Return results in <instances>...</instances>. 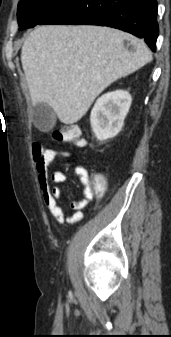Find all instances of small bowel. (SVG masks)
Instances as JSON below:
<instances>
[{"label":"small bowel","instance_id":"small-bowel-1","mask_svg":"<svg viewBox=\"0 0 171 337\" xmlns=\"http://www.w3.org/2000/svg\"><path fill=\"white\" fill-rule=\"evenodd\" d=\"M63 160H71L72 154L66 151L58 152L53 148L43 149L39 144H35L33 148V162L37 173L38 184L42 191L43 201L49 213L54 218L56 223L63 224L65 222H76L83 218L82 210L94 198V193L90 184L89 175L87 170L82 166L75 168V173L79 177L81 184L84 187V198L82 200L72 201L70 204L71 209L74 211L72 214L60 206L59 200L62 196V191L54 184H62L68 180V176L63 171H54L49 173V165L57 158Z\"/></svg>","mask_w":171,"mask_h":337}]
</instances>
